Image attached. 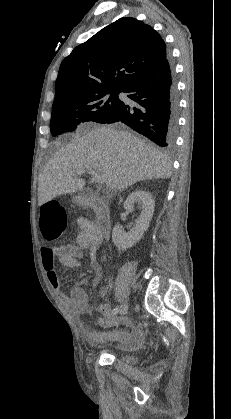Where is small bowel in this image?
I'll return each instance as SVG.
<instances>
[{"instance_id":"1","label":"small bowel","mask_w":231,"mask_h":419,"mask_svg":"<svg viewBox=\"0 0 231 419\" xmlns=\"http://www.w3.org/2000/svg\"><path fill=\"white\" fill-rule=\"evenodd\" d=\"M76 224L79 228L76 244H67L56 248H43L42 264L50 285L67 310L73 314H82L89 310V299L84 289V282L73 286L69 294L64 293L55 271V262L67 267H79L86 258L95 272L94 283H98L101 277V269L96 259V254L103 238L97 226L87 218L78 217ZM85 251L87 254H85ZM105 294L106 292L102 291V295L104 296ZM99 311L102 316L97 323L103 330H90L82 325L80 330L86 341L98 343L108 340L127 349L139 347L141 339L139 329H130V323L127 320L116 319L108 304L100 305Z\"/></svg>"}]
</instances>
